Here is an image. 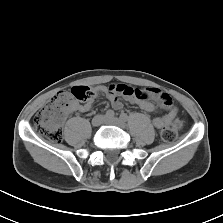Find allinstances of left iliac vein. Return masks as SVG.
<instances>
[{
  "label": "left iliac vein",
  "instance_id": "left-iliac-vein-1",
  "mask_svg": "<svg viewBox=\"0 0 223 223\" xmlns=\"http://www.w3.org/2000/svg\"><path fill=\"white\" fill-rule=\"evenodd\" d=\"M104 123L109 125H115L120 128H125L126 126L125 121L120 118H105Z\"/></svg>",
  "mask_w": 223,
  "mask_h": 223
}]
</instances>
